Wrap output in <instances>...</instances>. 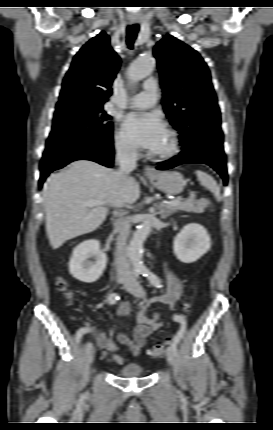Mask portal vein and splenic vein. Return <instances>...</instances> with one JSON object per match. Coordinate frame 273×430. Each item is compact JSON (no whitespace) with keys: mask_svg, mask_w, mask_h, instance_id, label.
I'll list each match as a JSON object with an SVG mask.
<instances>
[{"mask_svg":"<svg viewBox=\"0 0 273 430\" xmlns=\"http://www.w3.org/2000/svg\"><path fill=\"white\" fill-rule=\"evenodd\" d=\"M105 202L101 201V200H89L87 202V206L93 207V206H98V205H102ZM180 203V200H172V201H167L162 203L163 206H176Z\"/></svg>","mask_w":273,"mask_h":430,"instance_id":"18ae733b","label":"portal vein and splenic vein"}]
</instances>
